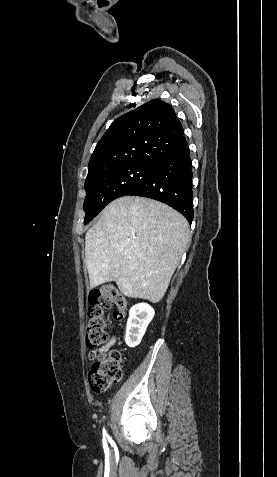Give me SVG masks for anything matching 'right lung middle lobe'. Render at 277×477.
Segmentation results:
<instances>
[{
	"mask_svg": "<svg viewBox=\"0 0 277 477\" xmlns=\"http://www.w3.org/2000/svg\"><path fill=\"white\" fill-rule=\"evenodd\" d=\"M155 166L149 163L133 162L88 173L83 206L86 213L84 224L91 221L108 203L125 196L141 184Z\"/></svg>",
	"mask_w": 277,
	"mask_h": 477,
	"instance_id": "right-lung-middle-lobe-1",
	"label": "right lung middle lobe"
}]
</instances>
